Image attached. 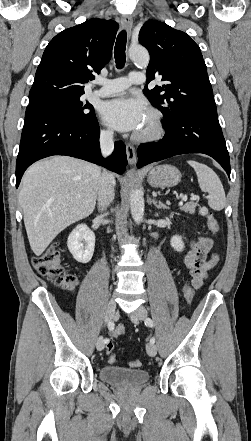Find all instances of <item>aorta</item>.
<instances>
[{"label": "aorta", "mask_w": 251, "mask_h": 441, "mask_svg": "<svg viewBox=\"0 0 251 441\" xmlns=\"http://www.w3.org/2000/svg\"><path fill=\"white\" fill-rule=\"evenodd\" d=\"M129 57L140 67H146L149 63V53L143 47H131ZM131 214L136 224H140L144 216V197L140 190L132 189L130 192Z\"/></svg>", "instance_id": "762f6f07"}]
</instances>
